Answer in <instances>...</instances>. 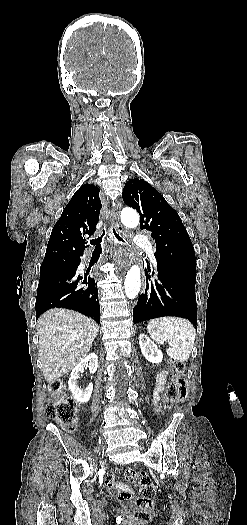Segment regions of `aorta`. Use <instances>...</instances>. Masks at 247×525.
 <instances>
[{"label": "aorta", "instance_id": "obj_1", "mask_svg": "<svg viewBox=\"0 0 247 525\" xmlns=\"http://www.w3.org/2000/svg\"><path fill=\"white\" fill-rule=\"evenodd\" d=\"M121 221L127 228H136L139 225L138 213L130 208H125L121 212ZM141 275L140 268L133 265L127 272L124 282L125 294L129 299H134L140 291Z\"/></svg>", "mask_w": 247, "mask_h": 525}]
</instances>
